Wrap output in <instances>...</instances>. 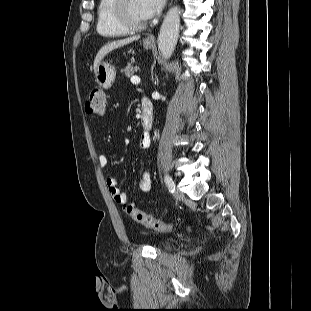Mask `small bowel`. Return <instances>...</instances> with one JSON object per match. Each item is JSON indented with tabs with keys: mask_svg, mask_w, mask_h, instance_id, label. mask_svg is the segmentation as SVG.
Here are the masks:
<instances>
[{
	"mask_svg": "<svg viewBox=\"0 0 311 311\" xmlns=\"http://www.w3.org/2000/svg\"><path fill=\"white\" fill-rule=\"evenodd\" d=\"M151 145V136L149 132H143L140 136L139 146L142 150H147ZM99 165L101 167H106L109 164V160L107 156L100 155L98 158ZM105 184L109 191V194L113 198V200L118 204H125L129 200V196L127 193L122 192L119 187L117 180L114 177H107L105 180ZM151 179L150 175L147 171H144L138 181V185L141 191L146 192L150 189Z\"/></svg>",
	"mask_w": 311,
	"mask_h": 311,
	"instance_id": "small-bowel-1",
	"label": "small bowel"
}]
</instances>
